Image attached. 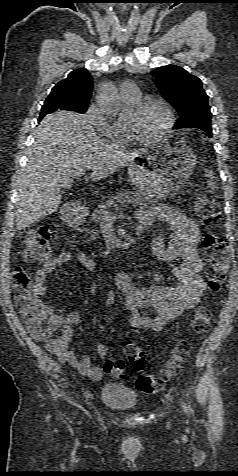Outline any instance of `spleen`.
Returning a JSON list of instances; mask_svg holds the SVG:
<instances>
[{
	"label": "spleen",
	"instance_id": "obj_1",
	"mask_svg": "<svg viewBox=\"0 0 238 476\" xmlns=\"http://www.w3.org/2000/svg\"><path fill=\"white\" fill-rule=\"evenodd\" d=\"M206 174L207 176L209 177L210 181H209V185L211 187V189L213 190L215 188L214 186V183H213V179H214V173L211 171V170H206Z\"/></svg>",
	"mask_w": 238,
	"mask_h": 476
}]
</instances>
